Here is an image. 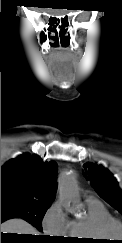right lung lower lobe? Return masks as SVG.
<instances>
[{
	"instance_id": "right-lung-lower-lobe-1",
	"label": "right lung lower lobe",
	"mask_w": 122,
	"mask_h": 243,
	"mask_svg": "<svg viewBox=\"0 0 122 243\" xmlns=\"http://www.w3.org/2000/svg\"><path fill=\"white\" fill-rule=\"evenodd\" d=\"M6 220H7V219H5V218L1 219V223L4 222V221H6ZM43 242H45V243H51V241L48 240V239H45V241H43Z\"/></svg>"
}]
</instances>
